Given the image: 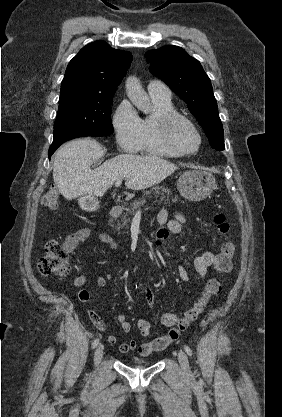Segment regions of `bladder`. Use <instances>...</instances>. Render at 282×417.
Returning a JSON list of instances; mask_svg holds the SVG:
<instances>
[{
	"label": "bladder",
	"mask_w": 282,
	"mask_h": 417,
	"mask_svg": "<svg viewBox=\"0 0 282 417\" xmlns=\"http://www.w3.org/2000/svg\"><path fill=\"white\" fill-rule=\"evenodd\" d=\"M132 364L135 366H145L148 364L146 360L140 359V358H132L131 360Z\"/></svg>",
	"instance_id": "1"
}]
</instances>
